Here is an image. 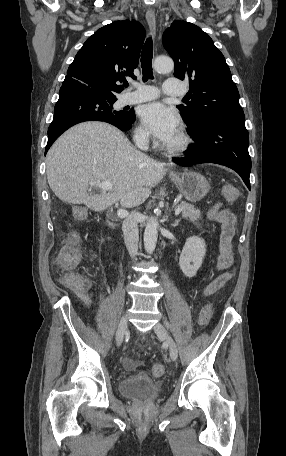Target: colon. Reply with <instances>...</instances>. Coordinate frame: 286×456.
Listing matches in <instances>:
<instances>
[{
	"mask_svg": "<svg viewBox=\"0 0 286 456\" xmlns=\"http://www.w3.org/2000/svg\"><path fill=\"white\" fill-rule=\"evenodd\" d=\"M223 195L229 199L234 200L238 196V190L235 186L224 185L222 187ZM81 254L78 248V238L75 234H71L68 242L60 249L56 257V265L60 269L59 281L61 284L74 291H84L89 287V280L76 272V267L80 263ZM212 314V307L205 305L198 317V323L201 326L206 325ZM124 365L128 369H135L136 363L132 359H125ZM164 366L156 363L152 367V375L159 378L164 375Z\"/></svg>",
	"mask_w": 286,
	"mask_h": 456,
	"instance_id": "obj_1",
	"label": "colon"
}]
</instances>
